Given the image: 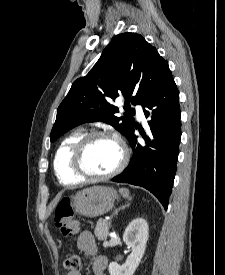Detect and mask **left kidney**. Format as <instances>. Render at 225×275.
I'll list each match as a JSON object with an SVG mask.
<instances>
[{
  "mask_svg": "<svg viewBox=\"0 0 225 275\" xmlns=\"http://www.w3.org/2000/svg\"><path fill=\"white\" fill-rule=\"evenodd\" d=\"M148 223L143 218L133 220L123 234V241L132 249L131 254L123 265L116 262L109 264L110 275H133L145 253L149 237Z\"/></svg>",
  "mask_w": 225,
  "mask_h": 275,
  "instance_id": "1",
  "label": "left kidney"
}]
</instances>
